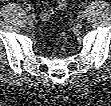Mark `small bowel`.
<instances>
[{
  "mask_svg": "<svg viewBox=\"0 0 111 106\" xmlns=\"http://www.w3.org/2000/svg\"><path fill=\"white\" fill-rule=\"evenodd\" d=\"M66 6H67L66 0H60L57 2L58 10H64L66 8ZM54 12H55V9L47 8L41 12L40 16L43 20H49L52 17V15L54 14Z\"/></svg>",
  "mask_w": 111,
  "mask_h": 106,
  "instance_id": "1",
  "label": "small bowel"
}]
</instances>
